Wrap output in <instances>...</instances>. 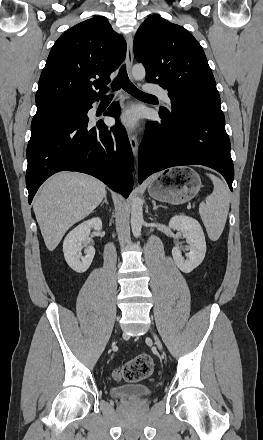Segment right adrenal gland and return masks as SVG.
Returning <instances> with one entry per match:
<instances>
[{
	"instance_id": "obj_1",
	"label": "right adrenal gland",
	"mask_w": 263,
	"mask_h": 440,
	"mask_svg": "<svg viewBox=\"0 0 263 440\" xmlns=\"http://www.w3.org/2000/svg\"><path fill=\"white\" fill-rule=\"evenodd\" d=\"M107 204L108 205V201H107V196H104V201L100 204V206H102L103 204Z\"/></svg>"
}]
</instances>
